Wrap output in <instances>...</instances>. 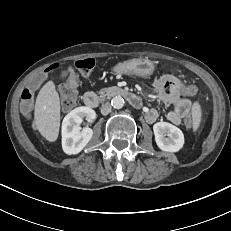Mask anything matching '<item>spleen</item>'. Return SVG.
Masks as SVG:
<instances>
[{"label": "spleen", "instance_id": "spleen-1", "mask_svg": "<svg viewBox=\"0 0 231 231\" xmlns=\"http://www.w3.org/2000/svg\"><path fill=\"white\" fill-rule=\"evenodd\" d=\"M192 117H193V129L194 131H196L201 122V108L198 103H195L193 105Z\"/></svg>", "mask_w": 231, "mask_h": 231}]
</instances>
